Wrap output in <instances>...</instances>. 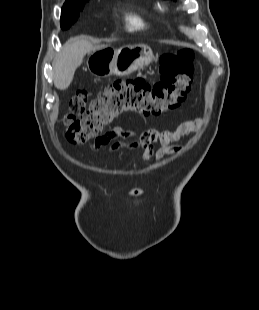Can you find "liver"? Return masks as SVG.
<instances>
[{"instance_id":"liver-1","label":"liver","mask_w":259,"mask_h":310,"mask_svg":"<svg viewBox=\"0 0 259 310\" xmlns=\"http://www.w3.org/2000/svg\"><path fill=\"white\" fill-rule=\"evenodd\" d=\"M103 46H94L84 38H74L64 44L63 50L53 63L54 86L59 90L67 89L74 77L76 69L82 64L83 58Z\"/></svg>"}]
</instances>
